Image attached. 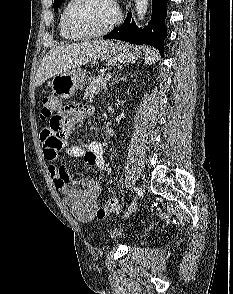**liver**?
I'll return each instance as SVG.
<instances>
[{
    "instance_id": "obj_1",
    "label": "liver",
    "mask_w": 233,
    "mask_h": 294,
    "mask_svg": "<svg viewBox=\"0 0 233 294\" xmlns=\"http://www.w3.org/2000/svg\"><path fill=\"white\" fill-rule=\"evenodd\" d=\"M111 41H85L53 47L49 50L38 68L36 86L68 70L102 57L111 48Z\"/></svg>"
}]
</instances>
